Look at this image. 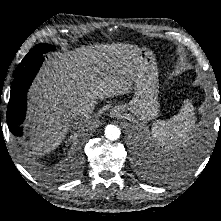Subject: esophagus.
Returning <instances> with one entry per match:
<instances>
[{
	"mask_svg": "<svg viewBox=\"0 0 221 221\" xmlns=\"http://www.w3.org/2000/svg\"><path fill=\"white\" fill-rule=\"evenodd\" d=\"M121 110L119 108H113L111 111H110V115L112 117H120L121 116Z\"/></svg>",
	"mask_w": 221,
	"mask_h": 221,
	"instance_id": "obj_1",
	"label": "esophagus"
}]
</instances>
